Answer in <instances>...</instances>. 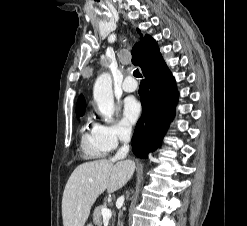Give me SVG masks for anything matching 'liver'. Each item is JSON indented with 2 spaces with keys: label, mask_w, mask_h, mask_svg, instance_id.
I'll return each mask as SVG.
<instances>
[{
  "label": "liver",
  "mask_w": 247,
  "mask_h": 226,
  "mask_svg": "<svg viewBox=\"0 0 247 226\" xmlns=\"http://www.w3.org/2000/svg\"><path fill=\"white\" fill-rule=\"evenodd\" d=\"M135 169L130 161L101 159L80 164L72 172L62 198L64 226H84L96 199L122 188Z\"/></svg>",
  "instance_id": "obj_1"
}]
</instances>
